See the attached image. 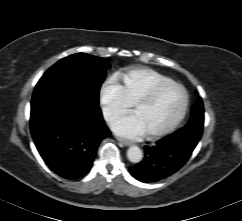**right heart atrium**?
<instances>
[{"label":"right heart atrium","mask_w":242,"mask_h":221,"mask_svg":"<svg viewBox=\"0 0 242 221\" xmlns=\"http://www.w3.org/2000/svg\"><path fill=\"white\" fill-rule=\"evenodd\" d=\"M99 102L102 114L107 121L127 112L132 106L122 85L114 79L105 80L100 85Z\"/></svg>","instance_id":"1"}]
</instances>
